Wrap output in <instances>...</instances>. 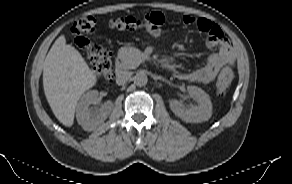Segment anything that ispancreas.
Here are the masks:
<instances>
[{
	"label": "pancreas",
	"mask_w": 292,
	"mask_h": 184,
	"mask_svg": "<svg viewBox=\"0 0 292 184\" xmlns=\"http://www.w3.org/2000/svg\"><path fill=\"white\" fill-rule=\"evenodd\" d=\"M118 55L122 60V67L125 69L136 68L144 57V54L140 50L133 47H122Z\"/></svg>",
	"instance_id": "obj_1"
}]
</instances>
